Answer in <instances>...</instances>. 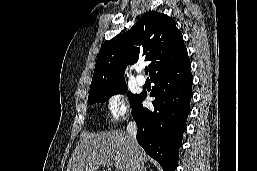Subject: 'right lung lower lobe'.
<instances>
[{"instance_id": "98d812e1", "label": "right lung lower lobe", "mask_w": 257, "mask_h": 171, "mask_svg": "<svg viewBox=\"0 0 257 171\" xmlns=\"http://www.w3.org/2000/svg\"><path fill=\"white\" fill-rule=\"evenodd\" d=\"M151 80L155 84L150 94L155 97L154 111L143 108L144 94L132 106L138 124L137 141L164 171H175L193 96L189 58L178 66L157 72Z\"/></svg>"}]
</instances>
